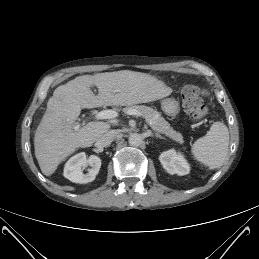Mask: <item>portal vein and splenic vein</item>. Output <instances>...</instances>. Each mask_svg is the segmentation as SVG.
Returning <instances> with one entry per match:
<instances>
[{
  "label": "portal vein and splenic vein",
  "mask_w": 259,
  "mask_h": 259,
  "mask_svg": "<svg viewBox=\"0 0 259 259\" xmlns=\"http://www.w3.org/2000/svg\"><path fill=\"white\" fill-rule=\"evenodd\" d=\"M127 114L128 115H136V116H142V114L139 112V111H136L134 109H130L127 111ZM96 119H113V118H116L118 117V113L112 109H108V110H103V111H100L98 112L96 115H95ZM75 129H79V126H75Z\"/></svg>",
  "instance_id": "portal-vein-and-splenic-vein-1"
}]
</instances>
